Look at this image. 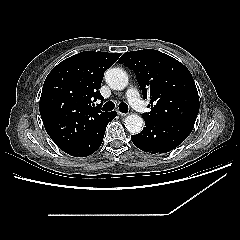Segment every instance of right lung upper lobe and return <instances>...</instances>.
Masks as SVG:
<instances>
[{
    "instance_id": "1",
    "label": "right lung upper lobe",
    "mask_w": 240,
    "mask_h": 240,
    "mask_svg": "<svg viewBox=\"0 0 240 240\" xmlns=\"http://www.w3.org/2000/svg\"><path fill=\"white\" fill-rule=\"evenodd\" d=\"M120 54L85 51L60 62L47 76L39 102L46 132L62 150L91 138L109 112L97 99L104 72Z\"/></svg>"
}]
</instances>
